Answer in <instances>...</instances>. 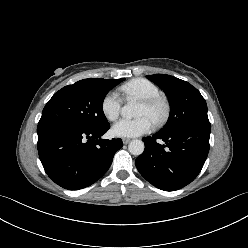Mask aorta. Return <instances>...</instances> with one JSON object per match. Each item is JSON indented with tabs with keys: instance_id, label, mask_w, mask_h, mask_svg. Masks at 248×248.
<instances>
[{
	"instance_id": "1",
	"label": "aorta",
	"mask_w": 248,
	"mask_h": 248,
	"mask_svg": "<svg viewBox=\"0 0 248 248\" xmlns=\"http://www.w3.org/2000/svg\"><path fill=\"white\" fill-rule=\"evenodd\" d=\"M121 113L126 118L136 117L137 104L132 101L127 102V104L123 106ZM144 148V142L138 139L132 140L128 145L129 152L136 156L141 155L144 151Z\"/></svg>"
}]
</instances>
